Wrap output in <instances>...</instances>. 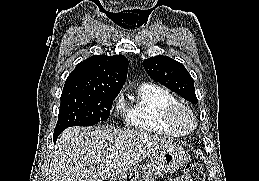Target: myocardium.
I'll return each instance as SVG.
<instances>
[{
    "mask_svg": "<svg viewBox=\"0 0 259 181\" xmlns=\"http://www.w3.org/2000/svg\"><path fill=\"white\" fill-rule=\"evenodd\" d=\"M170 120L174 125L184 129L186 132L192 131L197 125L195 114L183 104L172 109Z\"/></svg>",
    "mask_w": 259,
    "mask_h": 181,
    "instance_id": "1",
    "label": "myocardium"
}]
</instances>
